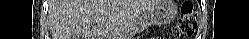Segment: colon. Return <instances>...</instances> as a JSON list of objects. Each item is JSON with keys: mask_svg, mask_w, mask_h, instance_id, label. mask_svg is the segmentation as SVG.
Wrapping results in <instances>:
<instances>
[{"mask_svg": "<svg viewBox=\"0 0 249 39\" xmlns=\"http://www.w3.org/2000/svg\"><path fill=\"white\" fill-rule=\"evenodd\" d=\"M197 22V15L193 4L186 1L182 4L180 15L171 29V36L174 38H185L194 34Z\"/></svg>", "mask_w": 249, "mask_h": 39, "instance_id": "1", "label": "colon"}]
</instances>
